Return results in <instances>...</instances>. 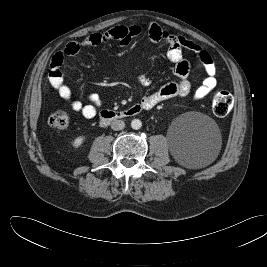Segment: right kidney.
I'll use <instances>...</instances> for the list:
<instances>
[{
	"label": "right kidney",
	"instance_id": "right-kidney-1",
	"mask_svg": "<svg viewBox=\"0 0 267 267\" xmlns=\"http://www.w3.org/2000/svg\"><path fill=\"white\" fill-rule=\"evenodd\" d=\"M82 143H83V137H77V138L73 141V146L77 148V147H79Z\"/></svg>",
	"mask_w": 267,
	"mask_h": 267
}]
</instances>
